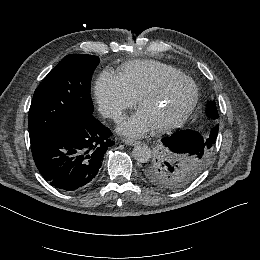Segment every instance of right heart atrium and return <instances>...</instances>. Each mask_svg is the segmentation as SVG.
<instances>
[{
    "label": "right heart atrium",
    "mask_w": 260,
    "mask_h": 260,
    "mask_svg": "<svg viewBox=\"0 0 260 260\" xmlns=\"http://www.w3.org/2000/svg\"><path fill=\"white\" fill-rule=\"evenodd\" d=\"M95 95L104 116L117 120L135 104L134 98L111 70L102 71L96 81Z\"/></svg>",
    "instance_id": "obj_1"
}]
</instances>
